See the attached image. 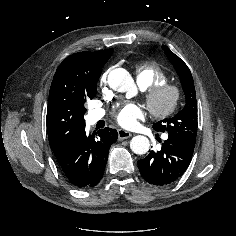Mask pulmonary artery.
<instances>
[{
    "label": "pulmonary artery",
    "mask_w": 236,
    "mask_h": 236,
    "mask_svg": "<svg viewBox=\"0 0 236 236\" xmlns=\"http://www.w3.org/2000/svg\"><path fill=\"white\" fill-rule=\"evenodd\" d=\"M104 115V112L102 110H97V111H94L91 116H92V119L93 120H99L103 117Z\"/></svg>",
    "instance_id": "1"
}]
</instances>
